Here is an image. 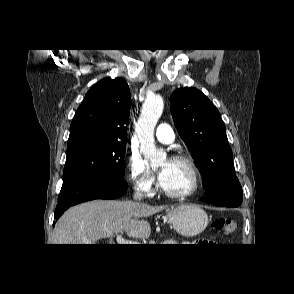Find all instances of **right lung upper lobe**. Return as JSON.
<instances>
[{
	"label": "right lung upper lobe",
	"instance_id": "cb5924a9",
	"mask_svg": "<svg viewBox=\"0 0 294 294\" xmlns=\"http://www.w3.org/2000/svg\"><path fill=\"white\" fill-rule=\"evenodd\" d=\"M131 95L122 78H105L86 94L70 126L68 144L81 141L126 144Z\"/></svg>",
	"mask_w": 294,
	"mask_h": 294
}]
</instances>
